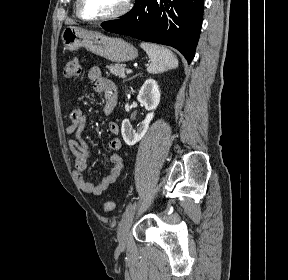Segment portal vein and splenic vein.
<instances>
[{
  "mask_svg": "<svg viewBox=\"0 0 288 280\" xmlns=\"http://www.w3.org/2000/svg\"><path fill=\"white\" fill-rule=\"evenodd\" d=\"M126 73H127V74H130V73H132V70H131V69H127V70H126Z\"/></svg>",
  "mask_w": 288,
  "mask_h": 280,
  "instance_id": "portal-vein-and-splenic-vein-1",
  "label": "portal vein and splenic vein"
}]
</instances>
